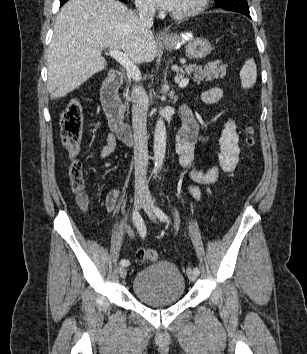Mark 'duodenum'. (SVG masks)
Segmentation results:
<instances>
[{
	"instance_id": "obj_1",
	"label": "duodenum",
	"mask_w": 307,
	"mask_h": 354,
	"mask_svg": "<svg viewBox=\"0 0 307 354\" xmlns=\"http://www.w3.org/2000/svg\"><path fill=\"white\" fill-rule=\"evenodd\" d=\"M123 82V74L111 71L101 88V102L108 118L111 131L125 145L132 143L131 126L124 122V109L119 99L118 90Z\"/></svg>"
}]
</instances>
